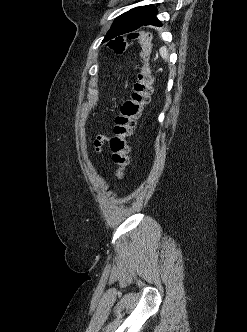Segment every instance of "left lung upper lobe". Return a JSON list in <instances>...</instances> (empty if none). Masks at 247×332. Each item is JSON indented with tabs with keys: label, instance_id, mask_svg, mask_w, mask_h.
I'll use <instances>...</instances> for the list:
<instances>
[{
	"label": "left lung upper lobe",
	"instance_id": "5c2ea615",
	"mask_svg": "<svg viewBox=\"0 0 247 332\" xmlns=\"http://www.w3.org/2000/svg\"><path fill=\"white\" fill-rule=\"evenodd\" d=\"M141 8H142V7H136V8H133V9L129 10L128 12H125V13H123L122 15L118 16V17L114 20V22H113V24H112L110 30L108 31V33H107L106 36H105L103 42H106V41H108V40H110V39H112V38L118 36V35H119L118 32H119L120 28L122 27V25H123L124 23H126L128 20H130L131 18H133L134 15H135V14H136Z\"/></svg>",
	"mask_w": 247,
	"mask_h": 332
}]
</instances>
